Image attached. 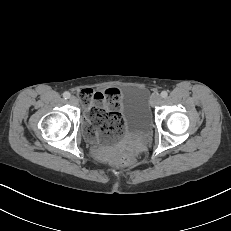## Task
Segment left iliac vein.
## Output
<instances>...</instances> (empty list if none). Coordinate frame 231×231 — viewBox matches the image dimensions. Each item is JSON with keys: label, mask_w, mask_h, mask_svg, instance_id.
<instances>
[{"label": "left iliac vein", "mask_w": 231, "mask_h": 231, "mask_svg": "<svg viewBox=\"0 0 231 231\" xmlns=\"http://www.w3.org/2000/svg\"><path fill=\"white\" fill-rule=\"evenodd\" d=\"M161 97L160 95L158 94H154L152 97H151V106L152 107H155L157 105H159L161 103Z\"/></svg>", "instance_id": "4c4485c4"}]
</instances>
